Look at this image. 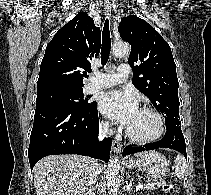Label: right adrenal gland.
Segmentation results:
<instances>
[{"label": "right adrenal gland", "mask_w": 211, "mask_h": 195, "mask_svg": "<svg viewBox=\"0 0 211 195\" xmlns=\"http://www.w3.org/2000/svg\"><path fill=\"white\" fill-rule=\"evenodd\" d=\"M85 195H95L94 190L90 188Z\"/></svg>", "instance_id": "2a0ac1e0"}]
</instances>
